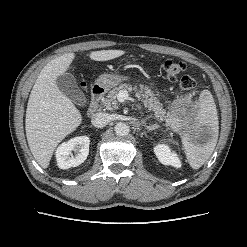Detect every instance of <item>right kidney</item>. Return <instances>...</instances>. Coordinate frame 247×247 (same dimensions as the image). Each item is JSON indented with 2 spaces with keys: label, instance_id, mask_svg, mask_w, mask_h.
Returning a JSON list of instances; mask_svg holds the SVG:
<instances>
[{
  "label": "right kidney",
  "instance_id": "obj_1",
  "mask_svg": "<svg viewBox=\"0 0 247 247\" xmlns=\"http://www.w3.org/2000/svg\"><path fill=\"white\" fill-rule=\"evenodd\" d=\"M90 139L79 136L62 143L56 150L57 165L61 169H69L82 164L89 154ZM75 156L73 155V152Z\"/></svg>",
  "mask_w": 247,
  "mask_h": 247
}]
</instances>
